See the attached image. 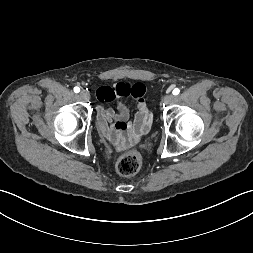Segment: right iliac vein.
Instances as JSON below:
<instances>
[{
  "label": "right iliac vein",
  "instance_id": "1",
  "mask_svg": "<svg viewBox=\"0 0 253 253\" xmlns=\"http://www.w3.org/2000/svg\"><path fill=\"white\" fill-rule=\"evenodd\" d=\"M79 96L85 100L88 101L90 99V94L89 92L85 91V90H81V92L79 93Z\"/></svg>",
  "mask_w": 253,
  "mask_h": 253
}]
</instances>
